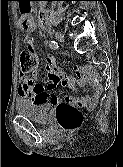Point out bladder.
I'll return each mask as SVG.
<instances>
[{"label":"bladder","instance_id":"31cf9c89","mask_svg":"<svg viewBox=\"0 0 123 167\" xmlns=\"http://www.w3.org/2000/svg\"><path fill=\"white\" fill-rule=\"evenodd\" d=\"M15 107L19 115L37 123H45L49 119L52 104L46 101L34 102L29 99H19Z\"/></svg>","mask_w":123,"mask_h":167}]
</instances>
